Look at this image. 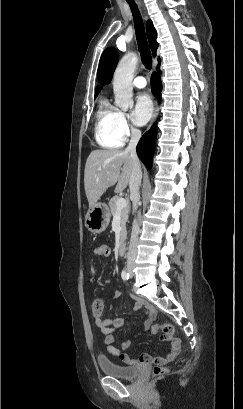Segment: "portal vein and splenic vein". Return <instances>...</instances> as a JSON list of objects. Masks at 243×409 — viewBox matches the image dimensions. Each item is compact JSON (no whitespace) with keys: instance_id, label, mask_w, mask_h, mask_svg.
<instances>
[{"instance_id":"18ae733b","label":"portal vein and splenic vein","mask_w":243,"mask_h":409,"mask_svg":"<svg viewBox=\"0 0 243 409\" xmlns=\"http://www.w3.org/2000/svg\"><path fill=\"white\" fill-rule=\"evenodd\" d=\"M126 206H127V201L125 198H119L118 201L116 202L117 210H121Z\"/></svg>"}]
</instances>
